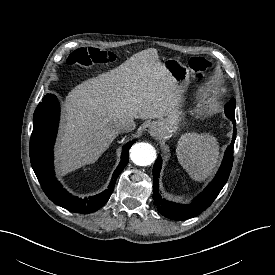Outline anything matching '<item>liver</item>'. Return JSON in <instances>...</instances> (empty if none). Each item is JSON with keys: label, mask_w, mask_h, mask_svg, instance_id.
Here are the masks:
<instances>
[{"label": "liver", "mask_w": 275, "mask_h": 275, "mask_svg": "<svg viewBox=\"0 0 275 275\" xmlns=\"http://www.w3.org/2000/svg\"><path fill=\"white\" fill-rule=\"evenodd\" d=\"M181 94L157 50L77 85L66 96L56 148L59 168L96 161L118 136L120 119H156L179 107Z\"/></svg>", "instance_id": "6515ba94"}]
</instances>
